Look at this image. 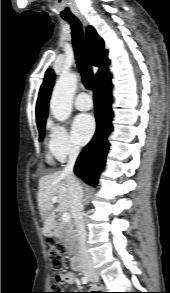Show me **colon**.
Instances as JSON below:
<instances>
[{
  "mask_svg": "<svg viewBox=\"0 0 170 293\" xmlns=\"http://www.w3.org/2000/svg\"><path fill=\"white\" fill-rule=\"evenodd\" d=\"M49 242L54 246V249L50 251L48 259L50 265L55 272L54 283L55 292L52 293H65L63 291V286L67 282V277L65 276L66 260L64 258V248L57 243L54 239H50ZM91 293V292H85Z\"/></svg>",
  "mask_w": 170,
  "mask_h": 293,
  "instance_id": "obj_1",
  "label": "colon"
}]
</instances>
